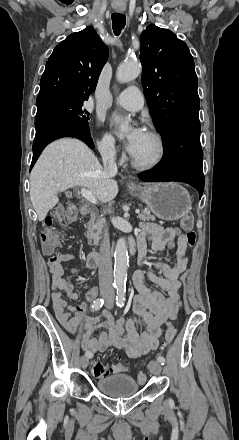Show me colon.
Listing matches in <instances>:
<instances>
[{
  "mask_svg": "<svg viewBox=\"0 0 239 440\" xmlns=\"http://www.w3.org/2000/svg\"><path fill=\"white\" fill-rule=\"evenodd\" d=\"M54 218L62 223H74L78 219L76 208L72 203H68L65 206H59L54 212ZM193 216L192 214H185L180 219V226L183 230L187 232V240L190 245L195 243L196 235L193 231ZM51 220L47 221V228L43 231L41 235L42 248L45 254H51L59 244V235L56 231L50 228ZM176 335V330L173 326H170L165 331V346H169L174 340ZM126 370V365L124 362H119L116 365L109 367L101 363L100 361H94L91 365V372L95 377H105L111 372H123ZM146 375L140 373L138 375V380L140 382L145 381Z\"/></svg>",
  "mask_w": 239,
  "mask_h": 440,
  "instance_id": "obj_1",
  "label": "colon"
}]
</instances>
